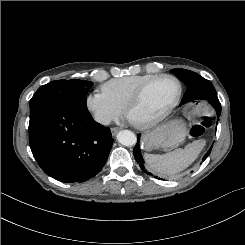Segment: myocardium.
<instances>
[{"instance_id": "obj_1", "label": "myocardium", "mask_w": 245, "mask_h": 245, "mask_svg": "<svg viewBox=\"0 0 245 245\" xmlns=\"http://www.w3.org/2000/svg\"><path fill=\"white\" fill-rule=\"evenodd\" d=\"M163 79H171V80H174L178 84V93H177L173 103L170 105V107L164 113L155 117L152 120H149V121L143 122V123L133 122L130 118V113L140 103V101H141L145 91L147 90V88L150 85H152L153 83H155L159 80H163ZM182 92H183V85H182V82L180 81L179 78H177L174 75H170V74L157 75V76L151 78L150 80L146 81L145 83H143L136 90V92L133 94V96L130 98V100L126 104L125 114H126L127 118L136 127L140 128V129H150V128L155 127L156 125L160 124L161 122H163L165 119H167L172 114V112L175 110V108L178 106V104L180 102Z\"/></svg>"}]
</instances>
